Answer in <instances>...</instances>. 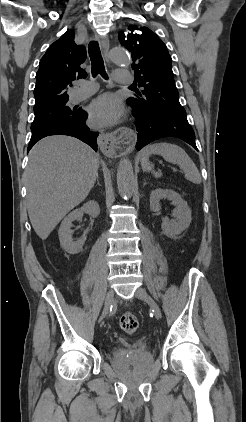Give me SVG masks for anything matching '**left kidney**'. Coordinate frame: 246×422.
<instances>
[{
    "instance_id": "5707ae66",
    "label": "left kidney",
    "mask_w": 246,
    "mask_h": 422,
    "mask_svg": "<svg viewBox=\"0 0 246 422\" xmlns=\"http://www.w3.org/2000/svg\"><path fill=\"white\" fill-rule=\"evenodd\" d=\"M162 199L172 201V204L175 206L173 211L174 219L169 220V218H163L161 225L163 234L174 238L189 227L192 220L191 209L187 205V202L174 190L157 188L150 194L151 211H160V200Z\"/></svg>"
}]
</instances>
